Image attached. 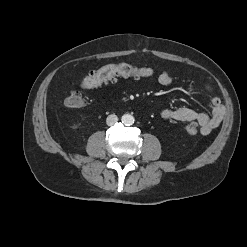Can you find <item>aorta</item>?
Masks as SVG:
<instances>
[{
    "label": "aorta",
    "instance_id": "762f6f07",
    "mask_svg": "<svg viewBox=\"0 0 247 247\" xmlns=\"http://www.w3.org/2000/svg\"><path fill=\"white\" fill-rule=\"evenodd\" d=\"M124 125H132L134 123V117L131 114H124L121 118Z\"/></svg>",
    "mask_w": 247,
    "mask_h": 247
}]
</instances>
